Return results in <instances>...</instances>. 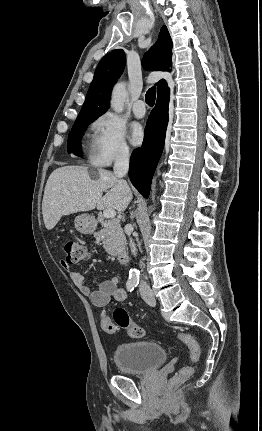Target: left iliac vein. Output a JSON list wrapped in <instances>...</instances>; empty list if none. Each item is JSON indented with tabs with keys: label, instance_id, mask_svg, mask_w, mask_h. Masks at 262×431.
<instances>
[{
	"label": "left iliac vein",
	"instance_id": "1",
	"mask_svg": "<svg viewBox=\"0 0 262 431\" xmlns=\"http://www.w3.org/2000/svg\"><path fill=\"white\" fill-rule=\"evenodd\" d=\"M143 299L150 306H155L156 304V300L153 293L143 295Z\"/></svg>",
	"mask_w": 262,
	"mask_h": 431
}]
</instances>
